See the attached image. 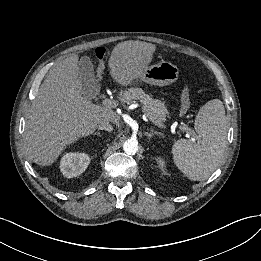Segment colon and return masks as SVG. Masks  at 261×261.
<instances>
[{"label":"colon","instance_id":"5ec220e1","mask_svg":"<svg viewBox=\"0 0 261 261\" xmlns=\"http://www.w3.org/2000/svg\"><path fill=\"white\" fill-rule=\"evenodd\" d=\"M186 92L189 94V91L186 89ZM180 112L182 113L183 112V109L182 107H180Z\"/></svg>","mask_w":261,"mask_h":261}]
</instances>
